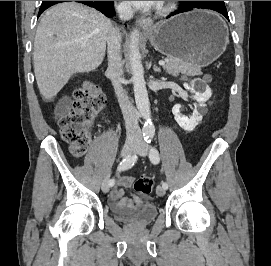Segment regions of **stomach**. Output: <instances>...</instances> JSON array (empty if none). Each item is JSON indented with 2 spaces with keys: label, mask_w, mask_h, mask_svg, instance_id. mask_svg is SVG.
<instances>
[{
  "label": "stomach",
  "mask_w": 271,
  "mask_h": 266,
  "mask_svg": "<svg viewBox=\"0 0 271 266\" xmlns=\"http://www.w3.org/2000/svg\"><path fill=\"white\" fill-rule=\"evenodd\" d=\"M154 48L168 58L204 67L225 51L228 29L220 16L204 10L180 14L155 25L147 34Z\"/></svg>",
  "instance_id": "0dacf381"
}]
</instances>
